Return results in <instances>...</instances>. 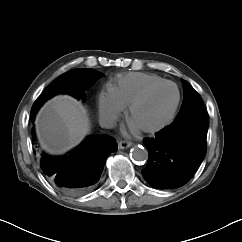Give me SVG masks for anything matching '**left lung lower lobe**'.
<instances>
[{"instance_id":"obj_1","label":"left lung lower lobe","mask_w":242,"mask_h":242,"mask_svg":"<svg viewBox=\"0 0 242 242\" xmlns=\"http://www.w3.org/2000/svg\"><path fill=\"white\" fill-rule=\"evenodd\" d=\"M207 129L181 133L160 130L144 139L149 158L142 170L144 179L157 189H175L194 175L206 154Z\"/></svg>"}]
</instances>
